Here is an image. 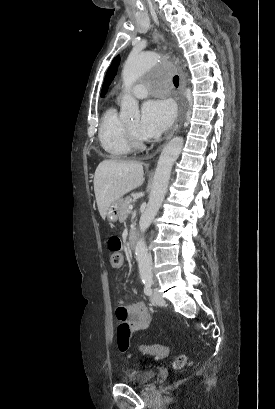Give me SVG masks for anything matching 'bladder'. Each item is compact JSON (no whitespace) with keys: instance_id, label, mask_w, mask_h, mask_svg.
<instances>
[{"instance_id":"1","label":"bladder","mask_w":275,"mask_h":409,"mask_svg":"<svg viewBox=\"0 0 275 409\" xmlns=\"http://www.w3.org/2000/svg\"><path fill=\"white\" fill-rule=\"evenodd\" d=\"M156 377L157 374L155 371L129 369L120 375V381L122 384L145 386L149 385L151 380L155 379Z\"/></svg>"}]
</instances>
